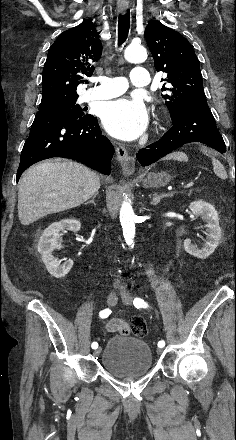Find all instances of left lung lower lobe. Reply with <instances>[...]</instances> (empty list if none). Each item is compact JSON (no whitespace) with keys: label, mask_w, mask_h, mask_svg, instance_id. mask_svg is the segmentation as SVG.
Wrapping results in <instances>:
<instances>
[{"label":"left lung lower lobe","mask_w":236,"mask_h":440,"mask_svg":"<svg viewBox=\"0 0 236 440\" xmlns=\"http://www.w3.org/2000/svg\"><path fill=\"white\" fill-rule=\"evenodd\" d=\"M172 128L157 142L139 150L136 157L141 166H148L176 148L191 142L204 143L220 153L226 152L207 101L190 104L180 117L172 121Z\"/></svg>","instance_id":"1"}]
</instances>
